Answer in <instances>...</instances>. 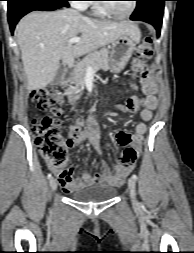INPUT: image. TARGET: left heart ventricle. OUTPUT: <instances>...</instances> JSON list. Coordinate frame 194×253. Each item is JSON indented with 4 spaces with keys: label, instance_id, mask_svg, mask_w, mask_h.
<instances>
[{
    "label": "left heart ventricle",
    "instance_id": "1",
    "mask_svg": "<svg viewBox=\"0 0 194 253\" xmlns=\"http://www.w3.org/2000/svg\"><path fill=\"white\" fill-rule=\"evenodd\" d=\"M106 4L114 13L119 14V15L126 14L132 6L131 1H113V2H108Z\"/></svg>",
    "mask_w": 194,
    "mask_h": 253
}]
</instances>
